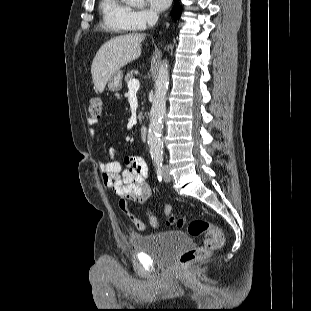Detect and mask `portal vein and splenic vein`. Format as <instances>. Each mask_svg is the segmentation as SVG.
Returning a JSON list of instances; mask_svg holds the SVG:
<instances>
[{
	"instance_id": "1",
	"label": "portal vein and splenic vein",
	"mask_w": 311,
	"mask_h": 311,
	"mask_svg": "<svg viewBox=\"0 0 311 311\" xmlns=\"http://www.w3.org/2000/svg\"><path fill=\"white\" fill-rule=\"evenodd\" d=\"M129 90L137 91L140 88V82L138 79H132L128 82Z\"/></svg>"
}]
</instances>
